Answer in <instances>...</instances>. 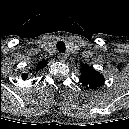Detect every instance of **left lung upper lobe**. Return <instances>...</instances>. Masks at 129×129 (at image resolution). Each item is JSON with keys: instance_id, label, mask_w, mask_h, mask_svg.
<instances>
[{"instance_id": "1", "label": "left lung upper lobe", "mask_w": 129, "mask_h": 129, "mask_svg": "<svg viewBox=\"0 0 129 129\" xmlns=\"http://www.w3.org/2000/svg\"><path fill=\"white\" fill-rule=\"evenodd\" d=\"M80 81L83 85L88 86L89 88H97L103 85L104 77L99 74V72L95 71L93 67L83 65Z\"/></svg>"}]
</instances>
